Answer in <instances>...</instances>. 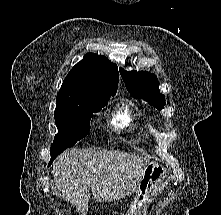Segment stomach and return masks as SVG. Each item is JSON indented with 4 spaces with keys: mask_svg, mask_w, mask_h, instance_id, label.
Listing matches in <instances>:
<instances>
[{
    "mask_svg": "<svg viewBox=\"0 0 221 215\" xmlns=\"http://www.w3.org/2000/svg\"><path fill=\"white\" fill-rule=\"evenodd\" d=\"M167 170L162 165L150 162L144 169L136 188V198L126 215H146V203L167 184Z\"/></svg>",
    "mask_w": 221,
    "mask_h": 215,
    "instance_id": "stomach-1",
    "label": "stomach"
}]
</instances>
